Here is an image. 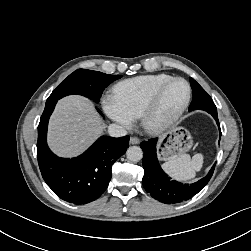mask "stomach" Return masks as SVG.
<instances>
[{
	"label": "stomach",
	"instance_id": "0dacf381",
	"mask_svg": "<svg viewBox=\"0 0 251 251\" xmlns=\"http://www.w3.org/2000/svg\"><path fill=\"white\" fill-rule=\"evenodd\" d=\"M192 139L183 127H176L160 138V159L170 160L188 151L192 147Z\"/></svg>",
	"mask_w": 251,
	"mask_h": 251
}]
</instances>
